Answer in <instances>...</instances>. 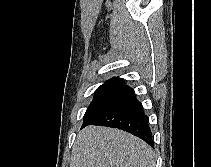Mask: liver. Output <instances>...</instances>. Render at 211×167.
Returning a JSON list of instances; mask_svg holds the SVG:
<instances>
[{
	"mask_svg": "<svg viewBox=\"0 0 211 167\" xmlns=\"http://www.w3.org/2000/svg\"><path fill=\"white\" fill-rule=\"evenodd\" d=\"M70 167H155L152 148L119 129L88 126L79 132Z\"/></svg>",
	"mask_w": 211,
	"mask_h": 167,
	"instance_id": "6515ba94",
	"label": "liver"
}]
</instances>
